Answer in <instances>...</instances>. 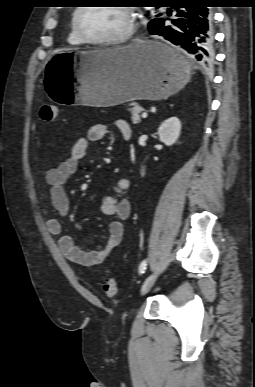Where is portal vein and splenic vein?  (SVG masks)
<instances>
[{"mask_svg": "<svg viewBox=\"0 0 255 387\" xmlns=\"http://www.w3.org/2000/svg\"><path fill=\"white\" fill-rule=\"evenodd\" d=\"M142 118H147V113L146 112L142 113Z\"/></svg>", "mask_w": 255, "mask_h": 387, "instance_id": "18ae733b", "label": "portal vein and splenic vein"}]
</instances>
